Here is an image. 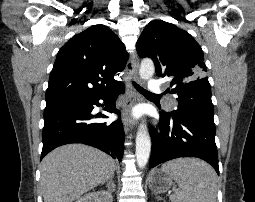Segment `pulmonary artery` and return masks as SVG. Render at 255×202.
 Here are the masks:
<instances>
[{"label":"pulmonary artery","mask_w":255,"mask_h":202,"mask_svg":"<svg viewBox=\"0 0 255 202\" xmlns=\"http://www.w3.org/2000/svg\"><path fill=\"white\" fill-rule=\"evenodd\" d=\"M148 91L151 93H161V82L159 80L151 79L148 83ZM170 106L174 108L176 106V102L172 101L170 103Z\"/></svg>","instance_id":"e3ab8cb5"}]
</instances>
